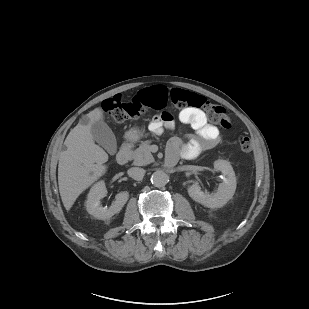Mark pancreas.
<instances>
[{
	"label": "pancreas",
	"instance_id": "pancreas-1",
	"mask_svg": "<svg viewBox=\"0 0 309 309\" xmlns=\"http://www.w3.org/2000/svg\"><path fill=\"white\" fill-rule=\"evenodd\" d=\"M150 142H142L137 149L130 153L134 165L144 166L153 162L154 158L149 150Z\"/></svg>",
	"mask_w": 309,
	"mask_h": 309
}]
</instances>
